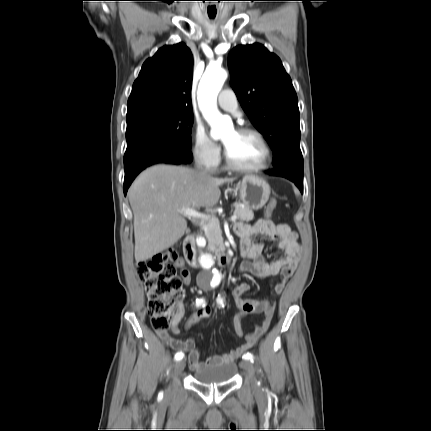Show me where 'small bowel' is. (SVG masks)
Returning <instances> with one entry per match:
<instances>
[{
	"label": "small bowel",
	"mask_w": 431,
	"mask_h": 431,
	"mask_svg": "<svg viewBox=\"0 0 431 431\" xmlns=\"http://www.w3.org/2000/svg\"><path fill=\"white\" fill-rule=\"evenodd\" d=\"M235 230L240 237V253L243 257V261L238 268L239 272H249L259 278L278 276L279 281L274 286V292L280 294L297 266L299 246L296 233L287 225L275 224L269 219H260L253 225L239 224ZM257 235H266L276 240L277 247L283 252V256L272 262L267 261L262 255L263 243L253 240V237ZM177 266L180 268L183 282L190 285L192 281L191 274L181 259L177 261ZM250 289L251 286L245 282L236 286L232 293L234 302L238 309L243 311L244 316L259 313L263 315V319L251 333L243 336L245 342L242 345L228 353L201 361L193 338L179 340L172 336L181 332L179 324L185 314L184 304L181 301L176 304V311L170 325L166 329L157 330L156 333L173 350L188 354L189 365L192 370L233 362L251 349L268 330L275 310L274 302L245 298L244 295Z\"/></svg>",
	"instance_id": "obj_1"
}]
</instances>
